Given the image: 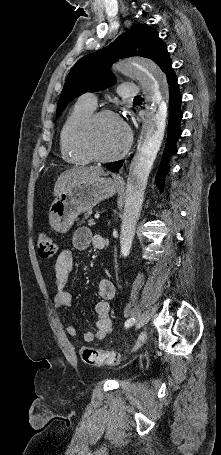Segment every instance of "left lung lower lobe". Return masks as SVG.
Returning <instances> with one entry per match:
<instances>
[{
	"label": "left lung lower lobe",
	"instance_id": "obj_1",
	"mask_svg": "<svg viewBox=\"0 0 221 455\" xmlns=\"http://www.w3.org/2000/svg\"><path fill=\"white\" fill-rule=\"evenodd\" d=\"M172 66V65H171ZM169 67L164 71L167 77L169 85V122H168V133L167 140L164 149V153L161 159V163L156 175V183L160 187L164 184V177L169 172V159L177 153L176 141L180 137L182 131L180 129V121L182 119V112L180 110V104L182 101V95L178 89L177 77L172 67ZM123 161L113 162L107 165V168L113 172L118 171L122 166Z\"/></svg>",
	"mask_w": 221,
	"mask_h": 455
}]
</instances>
